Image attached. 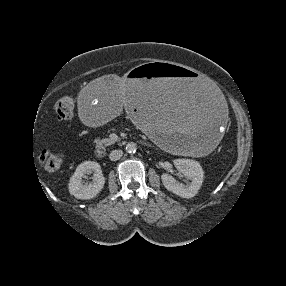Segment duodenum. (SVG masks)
I'll use <instances>...</instances> for the list:
<instances>
[{
    "label": "duodenum",
    "mask_w": 286,
    "mask_h": 286,
    "mask_svg": "<svg viewBox=\"0 0 286 286\" xmlns=\"http://www.w3.org/2000/svg\"><path fill=\"white\" fill-rule=\"evenodd\" d=\"M96 155L98 156V157H103L104 155H105V150H104V148H97V150H96Z\"/></svg>",
    "instance_id": "duodenum-1"
}]
</instances>
